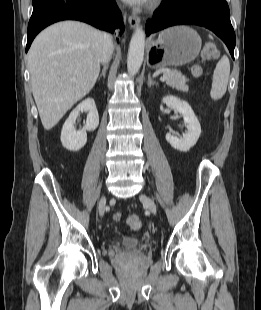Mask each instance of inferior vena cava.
<instances>
[{
  "mask_svg": "<svg viewBox=\"0 0 261 310\" xmlns=\"http://www.w3.org/2000/svg\"><path fill=\"white\" fill-rule=\"evenodd\" d=\"M113 53V38L109 33H104L101 62L105 66L109 63Z\"/></svg>",
  "mask_w": 261,
  "mask_h": 310,
  "instance_id": "inferior-vena-cava-1",
  "label": "inferior vena cava"
}]
</instances>
